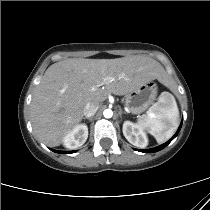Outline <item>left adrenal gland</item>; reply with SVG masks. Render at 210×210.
I'll return each instance as SVG.
<instances>
[{
  "label": "left adrenal gland",
  "instance_id": "left-adrenal-gland-1",
  "mask_svg": "<svg viewBox=\"0 0 210 210\" xmlns=\"http://www.w3.org/2000/svg\"><path fill=\"white\" fill-rule=\"evenodd\" d=\"M122 113H123V111L121 110V108H119V116H120V118L122 117Z\"/></svg>",
  "mask_w": 210,
  "mask_h": 210
}]
</instances>
